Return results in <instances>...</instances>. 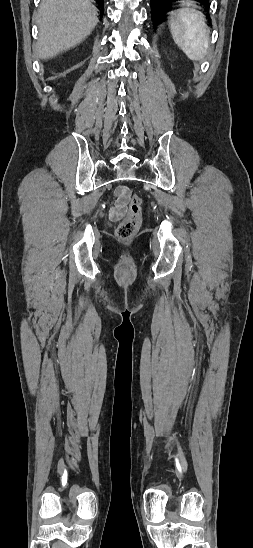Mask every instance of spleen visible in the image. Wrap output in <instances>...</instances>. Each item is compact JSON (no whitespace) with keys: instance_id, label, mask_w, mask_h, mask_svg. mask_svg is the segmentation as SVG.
I'll list each match as a JSON object with an SVG mask.
<instances>
[{"instance_id":"1","label":"spleen","mask_w":253,"mask_h":548,"mask_svg":"<svg viewBox=\"0 0 253 548\" xmlns=\"http://www.w3.org/2000/svg\"><path fill=\"white\" fill-rule=\"evenodd\" d=\"M172 37L192 61L204 58L209 47V28L203 13L193 7L172 11L169 17Z\"/></svg>"}]
</instances>
